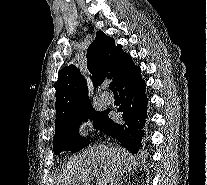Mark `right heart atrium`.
I'll return each mask as SVG.
<instances>
[{
    "label": "right heart atrium",
    "mask_w": 207,
    "mask_h": 185,
    "mask_svg": "<svg viewBox=\"0 0 207 185\" xmlns=\"http://www.w3.org/2000/svg\"><path fill=\"white\" fill-rule=\"evenodd\" d=\"M90 131L91 128L88 121L82 119L76 123L75 135L79 140L81 141L86 140L90 135Z\"/></svg>",
    "instance_id": "d8ad5b80"
}]
</instances>
